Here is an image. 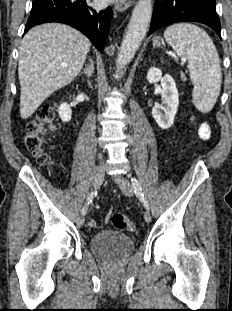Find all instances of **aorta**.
<instances>
[{
  "label": "aorta",
  "mask_w": 232,
  "mask_h": 311,
  "mask_svg": "<svg viewBox=\"0 0 232 311\" xmlns=\"http://www.w3.org/2000/svg\"><path fill=\"white\" fill-rule=\"evenodd\" d=\"M152 16V0H139L135 6L116 59L117 69H123L133 59L141 45Z\"/></svg>",
  "instance_id": "obj_1"
}]
</instances>
